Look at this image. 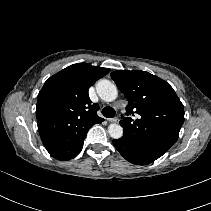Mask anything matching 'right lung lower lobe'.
Segmentation results:
<instances>
[{"instance_id": "98d812e1", "label": "right lung lower lobe", "mask_w": 211, "mask_h": 211, "mask_svg": "<svg viewBox=\"0 0 211 211\" xmlns=\"http://www.w3.org/2000/svg\"><path fill=\"white\" fill-rule=\"evenodd\" d=\"M85 137H86V135L82 138V140L80 141V144H79L77 150H76L75 153L71 156L70 159L74 158L75 156H77V155L80 153V151L82 150V147H83V141H84ZM70 159H68V160H70Z\"/></svg>"}]
</instances>
